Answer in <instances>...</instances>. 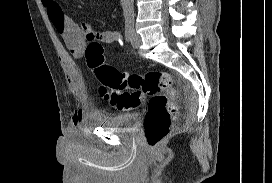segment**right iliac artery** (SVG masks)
<instances>
[{
  "label": "right iliac artery",
  "instance_id": "82829eb1",
  "mask_svg": "<svg viewBox=\"0 0 272 183\" xmlns=\"http://www.w3.org/2000/svg\"><path fill=\"white\" fill-rule=\"evenodd\" d=\"M133 31H134L133 24L129 23L125 25V39L127 42L132 40Z\"/></svg>",
  "mask_w": 272,
  "mask_h": 183
}]
</instances>
